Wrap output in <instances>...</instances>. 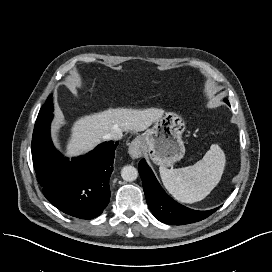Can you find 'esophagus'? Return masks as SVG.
I'll use <instances>...</instances> for the list:
<instances>
[{
  "instance_id": "esophagus-1",
  "label": "esophagus",
  "mask_w": 272,
  "mask_h": 272,
  "mask_svg": "<svg viewBox=\"0 0 272 272\" xmlns=\"http://www.w3.org/2000/svg\"><path fill=\"white\" fill-rule=\"evenodd\" d=\"M143 141L141 138H135L129 145L128 153L133 159H137L142 155Z\"/></svg>"
}]
</instances>
